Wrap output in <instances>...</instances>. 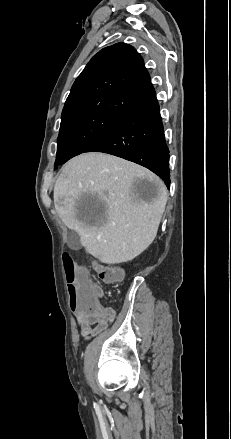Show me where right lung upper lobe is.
<instances>
[{"label": "right lung upper lobe", "mask_w": 231, "mask_h": 439, "mask_svg": "<svg viewBox=\"0 0 231 439\" xmlns=\"http://www.w3.org/2000/svg\"><path fill=\"white\" fill-rule=\"evenodd\" d=\"M156 98L142 57L125 43L99 51L75 80L62 117L99 111L125 117Z\"/></svg>", "instance_id": "1"}]
</instances>
